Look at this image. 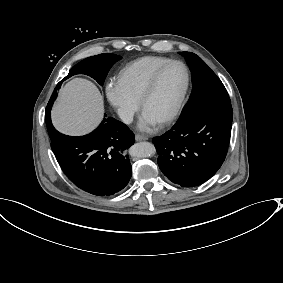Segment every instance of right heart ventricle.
Segmentation results:
<instances>
[{
	"mask_svg": "<svg viewBox=\"0 0 283 283\" xmlns=\"http://www.w3.org/2000/svg\"><path fill=\"white\" fill-rule=\"evenodd\" d=\"M171 60L169 57L159 55L139 58L123 67L119 72L118 79L128 95L134 100L139 101V97L149 76L157 68Z\"/></svg>",
	"mask_w": 283,
	"mask_h": 283,
	"instance_id": "obj_1",
	"label": "right heart ventricle"
}]
</instances>
